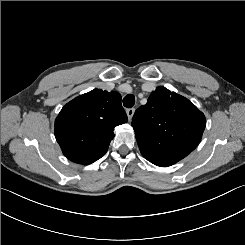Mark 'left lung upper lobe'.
<instances>
[{
    "mask_svg": "<svg viewBox=\"0 0 245 245\" xmlns=\"http://www.w3.org/2000/svg\"><path fill=\"white\" fill-rule=\"evenodd\" d=\"M205 125L204 114L194 104L162 86L132 119L140 152L151 163L160 156L185 158L199 144Z\"/></svg>",
    "mask_w": 245,
    "mask_h": 245,
    "instance_id": "obj_1",
    "label": "left lung upper lobe"
}]
</instances>
